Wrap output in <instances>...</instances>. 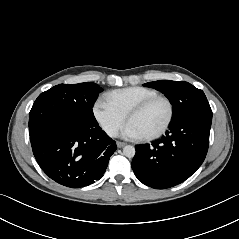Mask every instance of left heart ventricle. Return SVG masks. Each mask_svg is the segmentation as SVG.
Wrapping results in <instances>:
<instances>
[{
  "label": "left heart ventricle",
  "instance_id": "left-heart-ventricle-1",
  "mask_svg": "<svg viewBox=\"0 0 239 239\" xmlns=\"http://www.w3.org/2000/svg\"><path fill=\"white\" fill-rule=\"evenodd\" d=\"M168 115V104L164 100H158L140 114L133 116L129 122L135 126L142 137L158 131L165 124Z\"/></svg>",
  "mask_w": 239,
  "mask_h": 239
}]
</instances>
